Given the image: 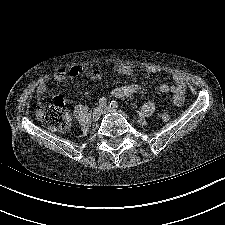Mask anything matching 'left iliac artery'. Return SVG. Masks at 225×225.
<instances>
[{"label":"left iliac artery","mask_w":225,"mask_h":225,"mask_svg":"<svg viewBox=\"0 0 225 225\" xmlns=\"http://www.w3.org/2000/svg\"><path fill=\"white\" fill-rule=\"evenodd\" d=\"M119 106L120 105L117 101H111V103H110V107H112V108H118Z\"/></svg>","instance_id":"1"}]
</instances>
